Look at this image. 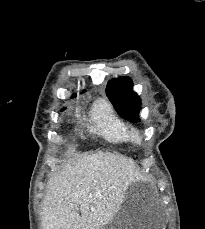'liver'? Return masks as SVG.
Masks as SVG:
<instances>
[{"instance_id": "liver-1", "label": "liver", "mask_w": 205, "mask_h": 229, "mask_svg": "<svg viewBox=\"0 0 205 229\" xmlns=\"http://www.w3.org/2000/svg\"><path fill=\"white\" fill-rule=\"evenodd\" d=\"M136 178L130 158L110 152L77 155L48 181L42 229H101L114 218Z\"/></svg>"}]
</instances>
